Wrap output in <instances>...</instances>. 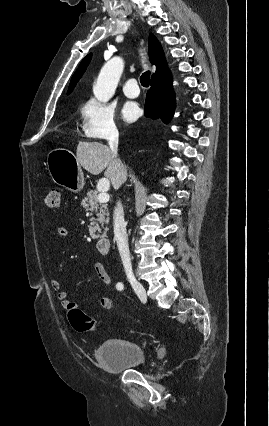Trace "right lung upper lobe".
I'll list each match as a JSON object with an SVG mask.
<instances>
[{"instance_id": "1", "label": "right lung upper lobe", "mask_w": 269, "mask_h": 426, "mask_svg": "<svg viewBox=\"0 0 269 426\" xmlns=\"http://www.w3.org/2000/svg\"><path fill=\"white\" fill-rule=\"evenodd\" d=\"M90 60L91 54L87 55L80 63L78 69L76 70L71 79L68 94H70L74 89L76 83L78 82L82 74L85 72ZM149 60L152 64H155L157 68L156 72L152 75L151 80L168 72V67L161 44L153 34L149 35Z\"/></svg>"}]
</instances>
